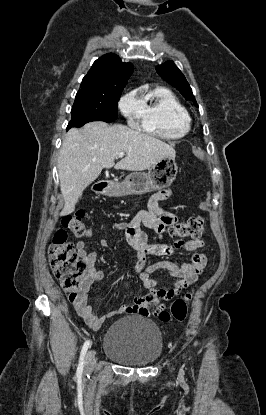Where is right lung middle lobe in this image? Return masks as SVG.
I'll list each match as a JSON object with an SVG mask.
<instances>
[{"label": "right lung middle lobe", "mask_w": 266, "mask_h": 415, "mask_svg": "<svg viewBox=\"0 0 266 415\" xmlns=\"http://www.w3.org/2000/svg\"><path fill=\"white\" fill-rule=\"evenodd\" d=\"M120 96L121 92L110 95L77 94L67 130L71 127H81L91 121H115Z\"/></svg>", "instance_id": "obj_1"}]
</instances>
